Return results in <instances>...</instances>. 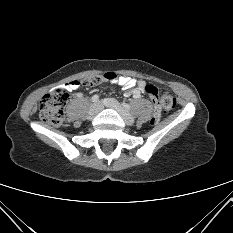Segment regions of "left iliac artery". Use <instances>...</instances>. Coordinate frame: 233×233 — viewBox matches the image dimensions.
<instances>
[{"label": "left iliac artery", "instance_id": "44dca946", "mask_svg": "<svg viewBox=\"0 0 233 233\" xmlns=\"http://www.w3.org/2000/svg\"><path fill=\"white\" fill-rule=\"evenodd\" d=\"M123 107L126 109V110H130V106L126 103H122Z\"/></svg>", "mask_w": 233, "mask_h": 233}]
</instances>
